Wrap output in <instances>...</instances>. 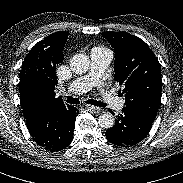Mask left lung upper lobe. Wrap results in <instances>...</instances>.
Returning a JSON list of instances; mask_svg holds the SVG:
<instances>
[{"label":"left lung upper lobe","instance_id":"1","mask_svg":"<svg viewBox=\"0 0 183 183\" xmlns=\"http://www.w3.org/2000/svg\"><path fill=\"white\" fill-rule=\"evenodd\" d=\"M103 36L115 52L114 79L124 87L125 107L155 120L160 104V64L148 45L127 32L107 31Z\"/></svg>","mask_w":183,"mask_h":183}]
</instances>
